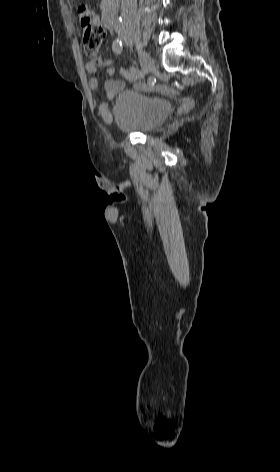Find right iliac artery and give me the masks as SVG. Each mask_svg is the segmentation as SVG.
<instances>
[{
  "mask_svg": "<svg viewBox=\"0 0 280 472\" xmlns=\"http://www.w3.org/2000/svg\"><path fill=\"white\" fill-rule=\"evenodd\" d=\"M112 29L114 30V32L116 34H120L121 32V27L120 25H114L112 27ZM112 49L113 51L116 53V54H119L121 53L122 51V42L119 38H117L114 42H113V45H112ZM131 75L135 78V79H142L144 77V73L142 71H140L138 68L136 67H131L129 69Z\"/></svg>",
  "mask_w": 280,
  "mask_h": 472,
  "instance_id": "obj_1",
  "label": "right iliac artery"
}]
</instances>
